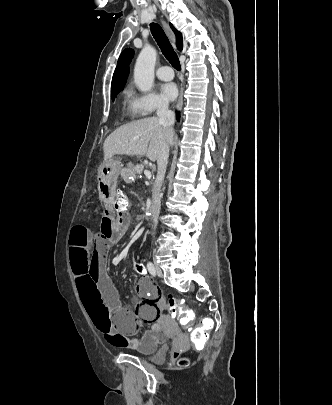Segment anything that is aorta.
I'll return each mask as SVG.
<instances>
[{"label": "aorta", "instance_id": "762f6f07", "mask_svg": "<svg viewBox=\"0 0 332 405\" xmlns=\"http://www.w3.org/2000/svg\"><path fill=\"white\" fill-rule=\"evenodd\" d=\"M156 57V49L150 45H145L136 60L134 81L141 91H149L153 86Z\"/></svg>", "mask_w": 332, "mask_h": 405}]
</instances>
